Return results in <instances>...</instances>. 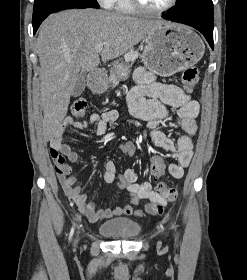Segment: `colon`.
<instances>
[{
  "instance_id": "obj_1",
  "label": "colon",
  "mask_w": 247,
  "mask_h": 280,
  "mask_svg": "<svg viewBox=\"0 0 247 280\" xmlns=\"http://www.w3.org/2000/svg\"><path fill=\"white\" fill-rule=\"evenodd\" d=\"M199 81V72L196 67H189L182 73V82L187 91H191ZM87 109V101L85 99H77L71 106V113L75 117H82ZM121 150L128 156H134L138 152V147L134 142L128 141L121 145ZM52 159L55 164L58 175H68L71 172L70 166L66 163L65 158L55 152H51ZM151 174L155 178H160L164 175L165 164L159 156H151ZM118 189L120 191H127L131 186V181L126 176H118L116 178ZM157 190L166 201H173L177 196L175 188L167 186L163 182L157 184Z\"/></svg>"
}]
</instances>
